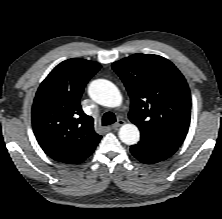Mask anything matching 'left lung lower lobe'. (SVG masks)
<instances>
[{"mask_svg":"<svg viewBox=\"0 0 222 219\" xmlns=\"http://www.w3.org/2000/svg\"><path fill=\"white\" fill-rule=\"evenodd\" d=\"M178 146L159 139L141 135L138 144L130 147V151L140 162L145 164L157 163L165 160L176 152Z\"/></svg>","mask_w":222,"mask_h":219,"instance_id":"obj_1","label":"left lung lower lobe"}]
</instances>
